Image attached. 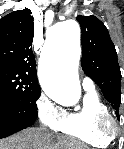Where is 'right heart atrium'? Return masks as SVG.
Wrapping results in <instances>:
<instances>
[{"mask_svg": "<svg viewBox=\"0 0 124 149\" xmlns=\"http://www.w3.org/2000/svg\"><path fill=\"white\" fill-rule=\"evenodd\" d=\"M36 112L41 124L51 130L57 129L64 116V110L45 94L37 100Z\"/></svg>", "mask_w": 124, "mask_h": 149, "instance_id": "right-heart-atrium-1", "label": "right heart atrium"}]
</instances>
